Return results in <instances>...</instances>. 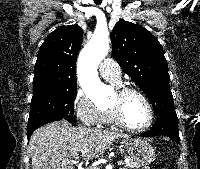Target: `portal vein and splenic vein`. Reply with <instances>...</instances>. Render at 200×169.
<instances>
[{
	"label": "portal vein and splenic vein",
	"mask_w": 200,
	"mask_h": 169,
	"mask_svg": "<svg viewBox=\"0 0 200 169\" xmlns=\"http://www.w3.org/2000/svg\"><path fill=\"white\" fill-rule=\"evenodd\" d=\"M127 162V161H126ZM124 163L123 162H119V165H123ZM121 169V168H120Z\"/></svg>",
	"instance_id": "1"
}]
</instances>
